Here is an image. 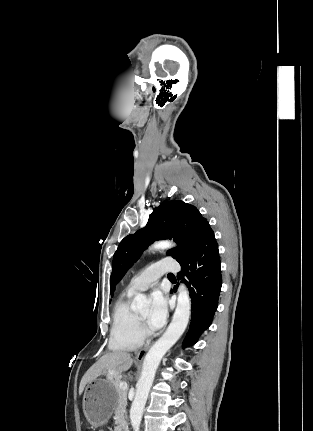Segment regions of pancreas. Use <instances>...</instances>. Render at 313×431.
Wrapping results in <instances>:
<instances>
[{
	"instance_id": "cf45deb5",
	"label": "pancreas",
	"mask_w": 313,
	"mask_h": 431,
	"mask_svg": "<svg viewBox=\"0 0 313 431\" xmlns=\"http://www.w3.org/2000/svg\"><path fill=\"white\" fill-rule=\"evenodd\" d=\"M116 394H117V406L115 408V424L116 428H119L126 420V406H127V391L120 389L119 384L121 379L119 376L111 378Z\"/></svg>"
}]
</instances>
